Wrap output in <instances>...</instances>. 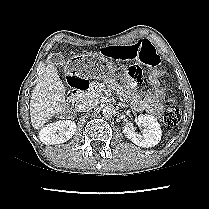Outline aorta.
Segmentation results:
<instances>
[{"mask_svg": "<svg viewBox=\"0 0 209 209\" xmlns=\"http://www.w3.org/2000/svg\"><path fill=\"white\" fill-rule=\"evenodd\" d=\"M116 113V109L112 104L105 105L102 109V114L104 117H113Z\"/></svg>", "mask_w": 209, "mask_h": 209, "instance_id": "762f6f07", "label": "aorta"}]
</instances>
